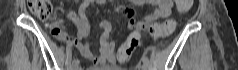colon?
I'll return each instance as SVG.
<instances>
[{
	"label": "colon",
	"instance_id": "obj_1",
	"mask_svg": "<svg viewBox=\"0 0 238 70\" xmlns=\"http://www.w3.org/2000/svg\"><path fill=\"white\" fill-rule=\"evenodd\" d=\"M192 3L193 0H175V10L176 12H189ZM28 6L30 11L40 19H47L52 13V4L49 0H29ZM144 23L145 25L133 33H128L125 42H120L117 59H122V61L128 60L144 33L155 37H162L170 34L174 29L173 21L164 22L157 21L156 19H145ZM53 33H59V29L54 28Z\"/></svg>",
	"mask_w": 238,
	"mask_h": 70
}]
</instances>
